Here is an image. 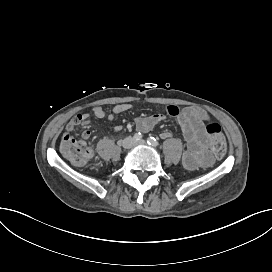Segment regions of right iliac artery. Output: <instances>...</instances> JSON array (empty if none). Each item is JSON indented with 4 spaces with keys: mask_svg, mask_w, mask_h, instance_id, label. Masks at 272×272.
Returning <instances> with one entry per match:
<instances>
[{
    "mask_svg": "<svg viewBox=\"0 0 272 272\" xmlns=\"http://www.w3.org/2000/svg\"><path fill=\"white\" fill-rule=\"evenodd\" d=\"M143 138V135L140 132L134 134L133 139L135 141H140Z\"/></svg>",
    "mask_w": 272,
    "mask_h": 272,
    "instance_id": "obj_1",
    "label": "right iliac artery"
}]
</instances>
